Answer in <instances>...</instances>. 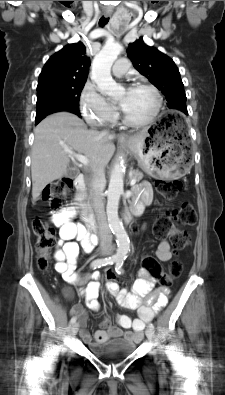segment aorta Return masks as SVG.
I'll return each mask as SVG.
<instances>
[{"instance_id": "aorta-1", "label": "aorta", "mask_w": 225, "mask_h": 395, "mask_svg": "<svg viewBox=\"0 0 225 395\" xmlns=\"http://www.w3.org/2000/svg\"><path fill=\"white\" fill-rule=\"evenodd\" d=\"M122 46L118 43H107L94 57L92 63V79L98 86L99 91L107 96L117 97L122 94L123 88L115 82L111 76V67ZM125 162L119 157L111 172L107 190L106 214L109 227L116 237L117 249L115 258L123 261L130 251V240L124 226L118 216V206L124 188Z\"/></svg>"}]
</instances>
